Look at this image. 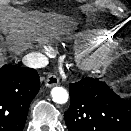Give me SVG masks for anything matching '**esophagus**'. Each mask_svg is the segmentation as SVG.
<instances>
[{
  "instance_id": "esophagus-1",
  "label": "esophagus",
  "mask_w": 131,
  "mask_h": 131,
  "mask_svg": "<svg viewBox=\"0 0 131 131\" xmlns=\"http://www.w3.org/2000/svg\"><path fill=\"white\" fill-rule=\"evenodd\" d=\"M59 83V79L56 75L51 74L47 77L46 81H45V85L47 87H53L56 86Z\"/></svg>"
}]
</instances>
